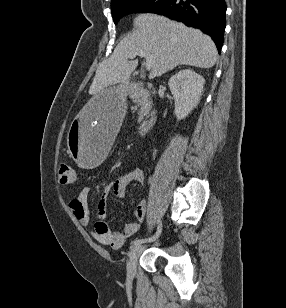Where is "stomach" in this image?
Masks as SVG:
<instances>
[{"mask_svg": "<svg viewBox=\"0 0 286 308\" xmlns=\"http://www.w3.org/2000/svg\"><path fill=\"white\" fill-rule=\"evenodd\" d=\"M125 92L129 85H104L94 97H87L84 109L68 122L69 154L75 165L89 171L107 161L128 107Z\"/></svg>", "mask_w": 286, "mask_h": 308, "instance_id": "stomach-1", "label": "stomach"}]
</instances>
